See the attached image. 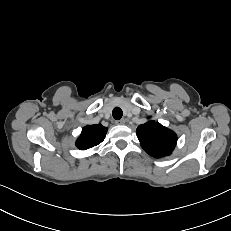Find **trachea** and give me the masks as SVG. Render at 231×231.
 <instances>
[{
    "label": "trachea",
    "mask_w": 231,
    "mask_h": 231,
    "mask_svg": "<svg viewBox=\"0 0 231 231\" xmlns=\"http://www.w3.org/2000/svg\"><path fill=\"white\" fill-rule=\"evenodd\" d=\"M113 118L119 120L122 118L123 112L119 107H115L112 112Z\"/></svg>",
    "instance_id": "trachea-1"
}]
</instances>
